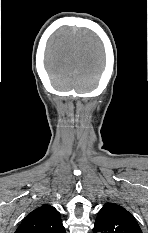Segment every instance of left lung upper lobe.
<instances>
[{
	"label": "left lung upper lobe",
	"mask_w": 148,
	"mask_h": 233,
	"mask_svg": "<svg viewBox=\"0 0 148 233\" xmlns=\"http://www.w3.org/2000/svg\"><path fill=\"white\" fill-rule=\"evenodd\" d=\"M93 233H142L137 221L125 208L106 203L98 212Z\"/></svg>",
	"instance_id": "5c2ea615"
}]
</instances>
